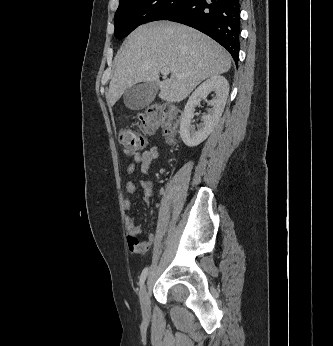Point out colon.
<instances>
[{"instance_id": "1", "label": "colon", "mask_w": 333, "mask_h": 346, "mask_svg": "<svg viewBox=\"0 0 333 346\" xmlns=\"http://www.w3.org/2000/svg\"><path fill=\"white\" fill-rule=\"evenodd\" d=\"M182 111L170 103H158L147 107L138 115L143 133L125 128L120 131L119 141L126 155H133L145 147V135L162 130L169 142L177 132ZM136 239V238H135Z\"/></svg>"}]
</instances>
